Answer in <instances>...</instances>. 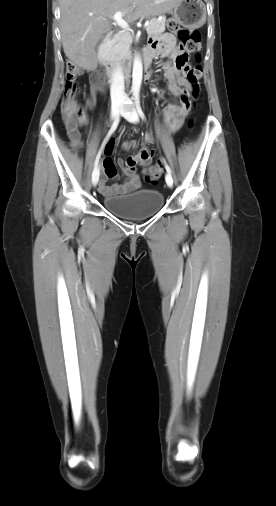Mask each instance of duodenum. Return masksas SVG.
<instances>
[{"label":"duodenum","mask_w":276,"mask_h":506,"mask_svg":"<svg viewBox=\"0 0 276 506\" xmlns=\"http://www.w3.org/2000/svg\"><path fill=\"white\" fill-rule=\"evenodd\" d=\"M112 36H113V34L111 32H109L105 35V37L103 39V46H106L110 42ZM142 59H143L145 66L148 68V63L150 62L149 55L146 53H143ZM104 67L107 70V73L110 77H114L117 74L118 68H119L117 62H115V61H105ZM127 72H128V67L126 65H124L123 66V73L125 75H127ZM146 78H149L148 70L145 74V80H146Z\"/></svg>","instance_id":"duodenum-1"}]
</instances>
